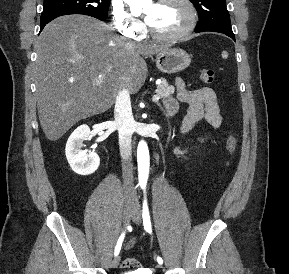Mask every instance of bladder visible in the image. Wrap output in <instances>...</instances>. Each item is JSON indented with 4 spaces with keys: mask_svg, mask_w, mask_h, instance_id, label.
<instances>
[{
    "mask_svg": "<svg viewBox=\"0 0 289 274\" xmlns=\"http://www.w3.org/2000/svg\"><path fill=\"white\" fill-rule=\"evenodd\" d=\"M122 274H147V273H144L142 271H127L123 272Z\"/></svg>",
    "mask_w": 289,
    "mask_h": 274,
    "instance_id": "31cf9c89",
    "label": "bladder"
}]
</instances>
